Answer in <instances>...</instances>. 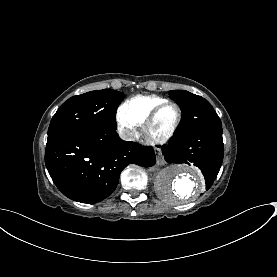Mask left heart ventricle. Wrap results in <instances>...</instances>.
I'll use <instances>...</instances> for the list:
<instances>
[{
    "label": "left heart ventricle",
    "mask_w": 277,
    "mask_h": 277,
    "mask_svg": "<svg viewBox=\"0 0 277 277\" xmlns=\"http://www.w3.org/2000/svg\"><path fill=\"white\" fill-rule=\"evenodd\" d=\"M176 119V108L174 106H167L160 112L150 134L155 137L166 135L174 126Z\"/></svg>",
    "instance_id": "left-heart-ventricle-1"
}]
</instances>
